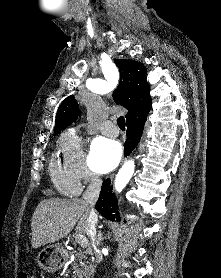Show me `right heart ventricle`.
<instances>
[{
  "mask_svg": "<svg viewBox=\"0 0 221 278\" xmlns=\"http://www.w3.org/2000/svg\"><path fill=\"white\" fill-rule=\"evenodd\" d=\"M50 173L54 185L63 193L77 194L80 184L66 167L64 161L54 158L50 164Z\"/></svg>",
  "mask_w": 221,
  "mask_h": 278,
  "instance_id": "obj_1",
  "label": "right heart ventricle"
}]
</instances>
